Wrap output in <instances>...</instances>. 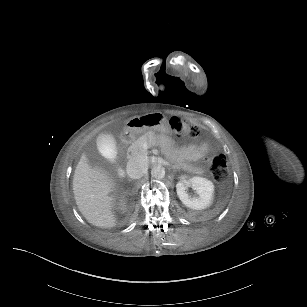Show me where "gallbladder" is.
<instances>
[{
	"instance_id": "1",
	"label": "gallbladder",
	"mask_w": 307,
	"mask_h": 307,
	"mask_svg": "<svg viewBox=\"0 0 307 307\" xmlns=\"http://www.w3.org/2000/svg\"><path fill=\"white\" fill-rule=\"evenodd\" d=\"M98 148L104 156H113L116 153V146L109 136H101L98 139Z\"/></svg>"
}]
</instances>
